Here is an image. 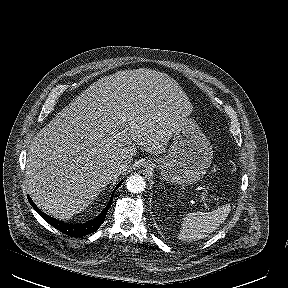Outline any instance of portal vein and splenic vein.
I'll list each match as a JSON object with an SVG mask.
<instances>
[{
    "label": "portal vein and splenic vein",
    "mask_w": 288,
    "mask_h": 288,
    "mask_svg": "<svg viewBox=\"0 0 288 288\" xmlns=\"http://www.w3.org/2000/svg\"><path fill=\"white\" fill-rule=\"evenodd\" d=\"M205 189H208V186L207 185H204ZM205 208H207V206H205Z\"/></svg>",
    "instance_id": "obj_1"
}]
</instances>
